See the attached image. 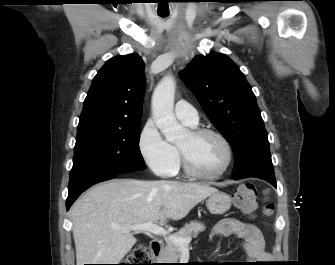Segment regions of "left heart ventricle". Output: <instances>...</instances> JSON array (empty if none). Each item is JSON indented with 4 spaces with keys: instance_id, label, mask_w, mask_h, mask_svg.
I'll return each mask as SVG.
<instances>
[{
    "instance_id": "b2bd125f",
    "label": "left heart ventricle",
    "mask_w": 335,
    "mask_h": 265,
    "mask_svg": "<svg viewBox=\"0 0 335 265\" xmlns=\"http://www.w3.org/2000/svg\"><path fill=\"white\" fill-rule=\"evenodd\" d=\"M178 146L185 151L192 166L204 174L216 173L226 160L225 147L214 136L195 139L187 133L180 140Z\"/></svg>"
}]
</instances>
